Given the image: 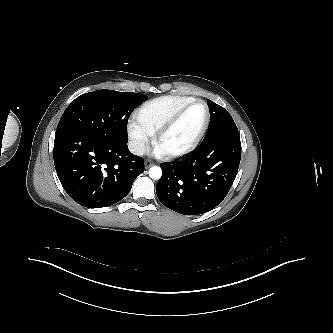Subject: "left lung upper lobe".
<instances>
[{"mask_svg": "<svg viewBox=\"0 0 333 333\" xmlns=\"http://www.w3.org/2000/svg\"><path fill=\"white\" fill-rule=\"evenodd\" d=\"M207 104L210 110L211 120L203 141L221 135L239 136L235 122L228 111L211 100H208Z\"/></svg>", "mask_w": 333, "mask_h": 333, "instance_id": "left-lung-upper-lobe-1", "label": "left lung upper lobe"}]
</instances>
